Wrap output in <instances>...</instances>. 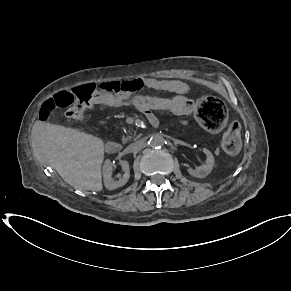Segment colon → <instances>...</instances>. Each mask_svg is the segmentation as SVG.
<instances>
[{
    "instance_id": "colon-1",
    "label": "colon",
    "mask_w": 291,
    "mask_h": 291,
    "mask_svg": "<svg viewBox=\"0 0 291 291\" xmlns=\"http://www.w3.org/2000/svg\"><path fill=\"white\" fill-rule=\"evenodd\" d=\"M128 87L124 82H112L103 85L87 84L68 91H60L47 99L39 112V119L44 121L49 114L57 109H65L69 121L78 120L90 107L108 101L112 108L120 105L128 107L132 98L128 94L118 95ZM136 104L143 112L172 111L174 118H188L195 114L198 122L208 131L221 130L227 121L225 105L216 97L190 98L189 96L171 97L170 93H145L144 97L136 98ZM222 147L228 153H236L240 148V124L233 122L222 139Z\"/></svg>"
}]
</instances>
